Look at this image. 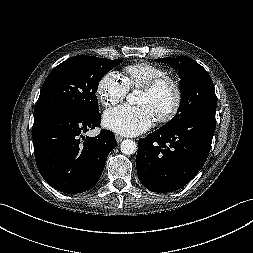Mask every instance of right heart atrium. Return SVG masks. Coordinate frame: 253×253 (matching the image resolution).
Instances as JSON below:
<instances>
[{"instance_id": "1", "label": "right heart atrium", "mask_w": 253, "mask_h": 253, "mask_svg": "<svg viewBox=\"0 0 253 253\" xmlns=\"http://www.w3.org/2000/svg\"><path fill=\"white\" fill-rule=\"evenodd\" d=\"M129 89L122 77L115 72H107L97 85V96L104 107H113L123 101Z\"/></svg>"}]
</instances>
